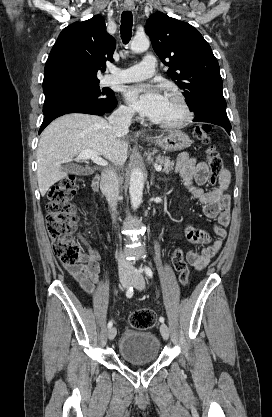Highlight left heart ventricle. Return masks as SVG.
Instances as JSON below:
<instances>
[{
    "label": "left heart ventricle",
    "instance_id": "1",
    "mask_svg": "<svg viewBox=\"0 0 272 417\" xmlns=\"http://www.w3.org/2000/svg\"><path fill=\"white\" fill-rule=\"evenodd\" d=\"M183 116L180 104L173 98L166 96L163 108L154 121L174 122Z\"/></svg>",
    "mask_w": 272,
    "mask_h": 417
}]
</instances>
